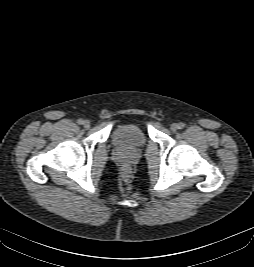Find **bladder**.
Masks as SVG:
<instances>
[{"label": "bladder", "instance_id": "31cf9c89", "mask_svg": "<svg viewBox=\"0 0 254 267\" xmlns=\"http://www.w3.org/2000/svg\"><path fill=\"white\" fill-rule=\"evenodd\" d=\"M111 139L121 150H137L145 146L147 137L140 126L134 123L118 125L114 128Z\"/></svg>", "mask_w": 254, "mask_h": 267}]
</instances>
